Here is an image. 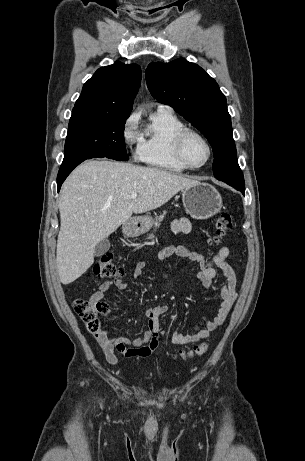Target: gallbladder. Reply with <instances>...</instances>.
Returning a JSON list of instances; mask_svg holds the SVG:
<instances>
[{"label": "gallbladder", "mask_w": 305, "mask_h": 461, "mask_svg": "<svg viewBox=\"0 0 305 461\" xmlns=\"http://www.w3.org/2000/svg\"><path fill=\"white\" fill-rule=\"evenodd\" d=\"M109 248H110V242H109L108 238H105V239L101 240L100 242H98V244L96 245V247L94 249V255L97 256V257L102 256L105 253H107Z\"/></svg>", "instance_id": "bac80fb5"}]
</instances>
